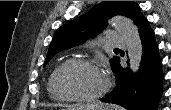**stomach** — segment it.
Segmentation results:
<instances>
[{
	"mask_svg": "<svg viewBox=\"0 0 171 110\" xmlns=\"http://www.w3.org/2000/svg\"><path fill=\"white\" fill-rule=\"evenodd\" d=\"M67 110H96V109L95 108L86 109V108H81V107H75V108H71V109H67Z\"/></svg>",
	"mask_w": 171,
	"mask_h": 110,
	"instance_id": "1",
	"label": "stomach"
}]
</instances>
